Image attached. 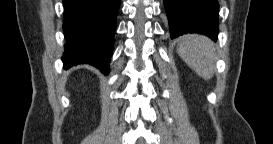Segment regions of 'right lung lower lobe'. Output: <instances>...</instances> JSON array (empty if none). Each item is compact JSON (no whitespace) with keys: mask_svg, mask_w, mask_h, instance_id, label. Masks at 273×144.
<instances>
[{"mask_svg":"<svg viewBox=\"0 0 273 144\" xmlns=\"http://www.w3.org/2000/svg\"><path fill=\"white\" fill-rule=\"evenodd\" d=\"M120 0H63L64 68L88 63L109 73Z\"/></svg>","mask_w":273,"mask_h":144,"instance_id":"98d812e1","label":"right lung lower lobe"}]
</instances>
